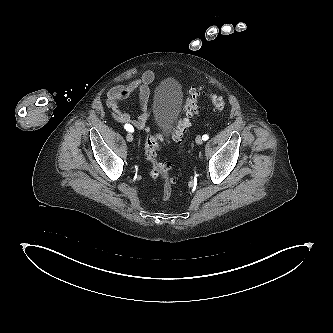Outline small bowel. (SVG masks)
I'll return each instance as SVG.
<instances>
[{
	"label": "small bowel",
	"instance_id": "small-bowel-1",
	"mask_svg": "<svg viewBox=\"0 0 333 333\" xmlns=\"http://www.w3.org/2000/svg\"><path fill=\"white\" fill-rule=\"evenodd\" d=\"M155 79V74L151 70H147L142 75L124 85L111 88L106 94V105L111 111L112 118L124 125L141 129L145 126L149 117L148 100L150 97V85ZM138 95L140 103V114L136 118L120 109V103L133 94Z\"/></svg>",
	"mask_w": 333,
	"mask_h": 333
}]
</instances>
